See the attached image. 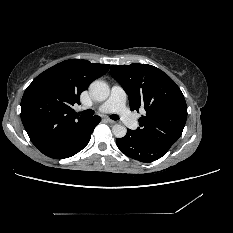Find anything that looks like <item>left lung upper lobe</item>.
<instances>
[{"instance_id":"5c2ea615","label":"left lung upper lobe","mask_w":233,"mask_h":233,"mask_svg":"<svg viewBox=\"0 0 233 233\" xmlns=\"http://www.w3.org/2000/svg\"><path fill=\"white\" fill-rule=\"evenodd\" d=\"M110 73L127 93L130 109L143 107L146 111L138 120L136 135L171 147L181 136L187 118L186 101L176 83L147 64L112 65Z\"/></svg>"}]
</instances>
